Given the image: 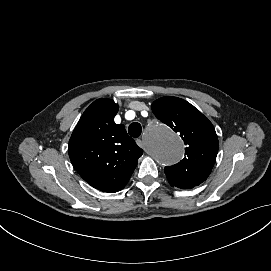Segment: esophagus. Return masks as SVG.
<instances>
[{
	"label": "esophagus",
	"mask_w": 271,
	"mask_h": 271,
	"mask_svg": "<svg viewBox=\"0 0 271 271\" xmlns=\"http://www.w3.org/2000/svg\"><path fill=\"white\" fill-rule=\"evenodd\" d=\"M136 143L139 145V146H142L144 143H145V138L143 136H138L136 138ZM148 153V152H147ZM149 154V153H148ZM151 155V154H149Z\"/></svg>",
	"instance_id": "34e87169"
}]
</instances>
